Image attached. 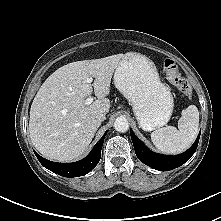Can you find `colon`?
Returning <instances> with one entry per match:
<instances>
[{
    "instance_id": "colon-1",
    "label": "colon",
    "mask_w": 221,
    "mask_h": 221,
    "mask_svg": "<svg viewBox=\"0 0 221 221\" xmlns=\"http://www.w3.org/2000/svg\"><path fill=\"white\" fill-rule=\"evenodd\" d=\"M163 71L167 80L184 96L191 95V87L180 74L179 68L175 61L167 59L163 65Z\"/></svg>"
}]
</instances>
